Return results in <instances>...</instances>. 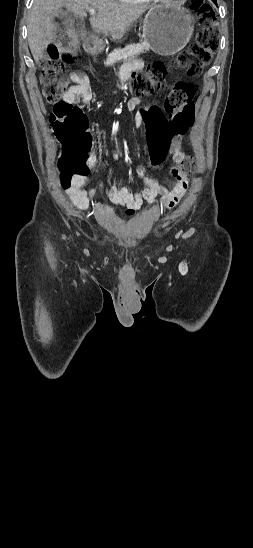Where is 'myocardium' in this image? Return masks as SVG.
Returning a JSON list of instances; mask_svg holds the SVG:
<instances>
[{"instance_id":"f54148a6","label":"myocardium","mask_w":253,"mask_h":548,"mask_svg":"<svg viewBox=\"0 0 253 548\" xmlns=\"http://www.w3.org/2000/svg\"><path fill=\"white\" fill-rule=\"evenodd\" d=\"M151 1H157V2L168 3V2H172V1H174V0H151Z\"/></svg>"}]
</instances>
